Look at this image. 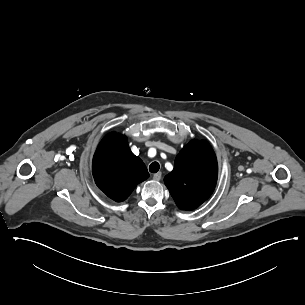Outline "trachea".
<instances>
[{
  "label": "trachea",
  "instance_id": "trachea-1",
  "mask_svg": "<svg viewBox=\"0 0 305 305\" xmlns=\"http://www.w3.org/2000/svg\"><path fill=\"white\" fill-rule=\"evenodd\" d=\"M159 169H160V165L158 162H153L149 166V171L151 173H157L159 171Z\"/></svg>",
  "mask_w": 305,
  "mask_h": 305
}]
</instances>
